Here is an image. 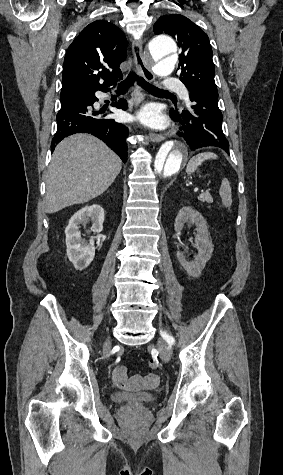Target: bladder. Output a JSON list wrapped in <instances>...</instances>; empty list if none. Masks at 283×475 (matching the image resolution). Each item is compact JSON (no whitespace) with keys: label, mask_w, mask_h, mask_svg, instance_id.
Here are the masks:
<instances>
[{"label":"bladder","mask_w":283,"mask_h":475,"mask_svg":"<svg viewBox=\"0 0 283 475\" xmlns=\"http://www.w3.org/2000/svg\"><path fill=\"white\" fill-rule=\"evenodd\" d=\"M110 397L124 402L125 405L146 406L149 403L155 402L158 396L154 393L149 395H140L133 392H111Z\"/></svg>","instance_id":"bladder-1"}]
</instances>
